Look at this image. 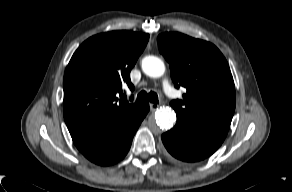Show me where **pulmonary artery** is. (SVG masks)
I'll return each instance as SVG.
<instances>
[{
    "label": "pulmonary artery",
    "instance_id": "1",
    "mask_svg": "<svg viewBox=\"0 0 292 192\" xmlns=\"http://www.w3.org/2000/svg\"><path fill=\"white\" fill-rule=\"evenodd\" d=\"M162 86H163V90L167 96H169V97L175 96L174 90L172 89V87L170 86V84L166 80L163 81Z\"/></svg>",
    "mask_w": 292,
    "mask_h": 192
}]
</instances>
